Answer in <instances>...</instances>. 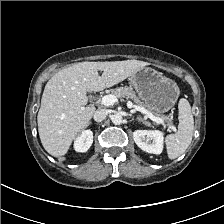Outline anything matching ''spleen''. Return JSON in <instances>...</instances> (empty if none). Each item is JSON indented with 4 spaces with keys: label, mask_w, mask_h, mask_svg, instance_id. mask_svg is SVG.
<instances>
[{
    "label": "spleen",
    "mask_w": 224,
    "mask_h": 224,
    "mask_svg": "<svg viewBox=\"0 0 224 224\" xmlns=\"http://www.w3.org/2000/svg\"><path fill=\"white\" fill-rule=\"evenodd\" d=\"M179 124L174 134L166 137V149L169 159H175L183 154L191 144L194 130V119L188 100L182 98L178 104Z\"/></svg>",
    "instance_id": "3e777b00"
}]
</instances>
